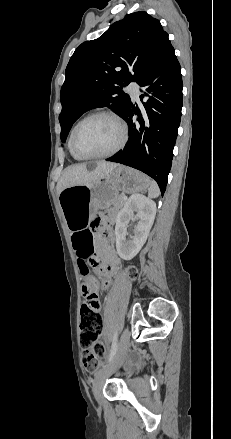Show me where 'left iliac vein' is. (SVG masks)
Here are the masks:
<instances>
[{"label": "left iliac vein", "mask_w": 231, "mask_h": 439, "mask_svg": "<svg viewBox=\"0 0 231 439\" xmlns=\"http://www.w3.org/2000/svg\"><path fill=\"white\" fill-rule=\"evenodd\" d=\"M129 342L130 332L128 328H126L121 335L117 353L115 354L111 362L103 370L98 372L94 378L92 390L94 397L99 404L101 403L102 387L106 379L110 377L113 373H115L117 369L123 364L128 351Z\"/></svg>", "instance_id": "left-iliac-vein-1"}]
</instances>
